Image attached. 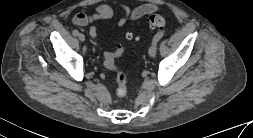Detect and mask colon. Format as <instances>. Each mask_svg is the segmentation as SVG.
Here are the masks:
<instances>
[{
	"label": "colon",
	"mask_w": 253,
	"mask_h": 138,
	"mask_svg": "<svg viewBox=\"0 0 253 138\" xmlns=\"http://www.w3.org/2000/svg\"><path fill=\"white\" fill-rule=\"evenodd\" d=\"M147 24L152 29H163L166 25V21L160 14L153 13L147 18ZM136 39L133 32L130 31L126 33V40L132 41ZM124 52V46L119 45L116 50L107 52L104 56V65L108 69L116 71V95L119 98H123L127 94V77L116 64V59L122 56Z\"/></svg>",
	"instance_id": "colon-1"
}]
</instances>
